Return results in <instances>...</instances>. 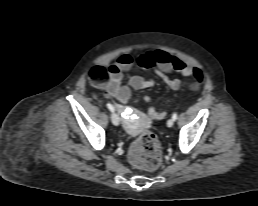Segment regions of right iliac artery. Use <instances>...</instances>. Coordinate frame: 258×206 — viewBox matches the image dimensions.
Returning a JSON list of instances; mask_svg holds the SVG:
<instances>
[{
    "mask_svg": "<svg viewBox=\"0 0 258 206\" xmlns=\"http://www.w3.org/2000/svg\"><path fill=\"white\" fill-rule=\"evenodd\" d=\"M107 108L111 111V112H114V108L113 106L110 104V103H107Z\"/></svg>",
    "mask_w": 258,
    "mask_h": 206,
    "instance_id": "82829eb1",
    "label": "right iliac artery"
}]
</instances>
